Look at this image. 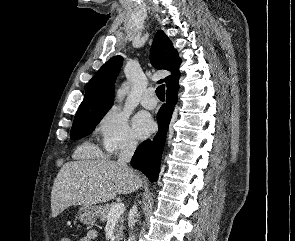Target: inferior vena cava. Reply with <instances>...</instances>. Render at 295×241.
<instances>
[{
	"label": "inferior vena cava",
	"instance_id": "1",
	"mask_svg": "<svg viewBox=\"0 0 295 241\" xmlns=\"http://www.w3.org/2000/svg\"><path fill=\"white\" fill-rule=\"evenodd\" d=\"M136 145H137V142L133 138L128 137L123 140L121 147H120L118 160H117V163L119 165H122V166L126 167L128 170H130L127 163L130 162V160L134 154V151L136 149ZM136 211H137V208L135 205L132 209V216H130V218L128 220V226L131 229H133V226L135 225L134 213H136ZM128 241H136L135 235L130 233Z\"/></svg>",
	"mask_w": 295,
	"mask_h": 241
}]
</instances>
